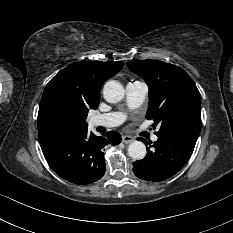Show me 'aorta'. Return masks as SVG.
Segmentation results:
<instances>
[{
  "label": "aorta",
  "instance_id": "762f6f07",
  "mask_svg": "<svg viewBox=\"0 0 233 233\" xmlns=\"http://www.w3.org/2000/svg\"><path fill=\"white\" fill-rule=\"evenodd\" d=\"M103 95L107 102L116 103L123 99L125 90L119 82L110 80L104 85ZM146 153V146L141 141H133L128 146V155L134 160H142L146 156Z\"/></svg>",
  "mask_w": 233,
  "mask_h": 233
}]
</instances>
